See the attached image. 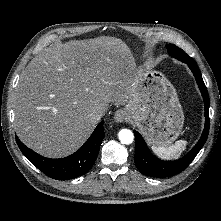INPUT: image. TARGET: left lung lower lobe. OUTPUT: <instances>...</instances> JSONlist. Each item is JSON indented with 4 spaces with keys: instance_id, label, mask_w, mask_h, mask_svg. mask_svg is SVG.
Here are the masks:
<instances>
[{
    "instance_id": "obj_1",
    "label": "left lung lower lobe",
    "mask_w": 221,
    "mask_h": 221,
    "mask_svg": "<svg viewBox=\"0 0 221 221\" xmlns=\"http://www.w3.org/2000/svg\"><path fill=\"white\" fill-rule=\"evenodd\" d=\"M189 68L192 70L199 89L202 93L204 105H205V127L201 138L198 143L193 147V149L183 158L176 161H162L156 158L148 149L143 137L137 132L134 131L135 135V158L134 162L139 171L151 177H169L180 173L183 171L196 157L198 152L201 150L203 145L205 144L208 133H209V96L207 92V88L202 79L200 70L196 65L194 60L186 61Z\"/></svg>"
}]
</instances>
